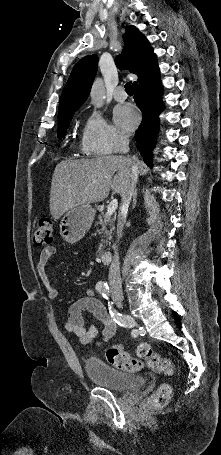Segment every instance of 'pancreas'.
<instances>
[{
	"label": "pancreas",
	"instance_id": "obj_1",
	"mask_svg": "<svg viewBox=\"0 0 221 455\" xmlns=\"http://www.w3.org/2000/svg\"><path fill=\"white\" fill-rule=\"evenodd\" d=\"M115 219L111 216H106L103 213L98 216V220L95 222L96 226H101V233L103 234L101 244L98 247L97 254L101 255L104 251L105 244L107 245L112 239V233L115 229Z\"/></svg>",
	"mask_w": 221,
	"mask_h": 455
}]
</instances>
